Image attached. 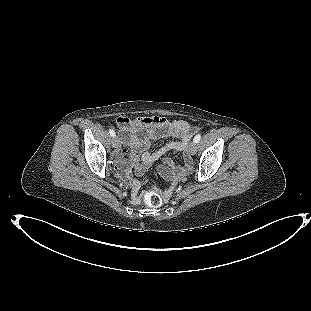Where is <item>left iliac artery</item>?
I'll return each mask as SVG.
<instances>
[{
  "label": "left iliac artery",
  "mask_w": 311,
  "mask_h": 311,
  "mask_svg": "<svg viewBox=\"0 0 311 311\" xmlns=\"http://www.w3.org/2000/svg\"><path fill=\"white\" fill-rule=\"evenodd\" d=\"M200 139H201V135L198 134V135H196V136L194 137L193 141H194L195 143H198V142L200 141Z\"/></svg>",
  "instance_id": "obj_1"
}]
</instances>
